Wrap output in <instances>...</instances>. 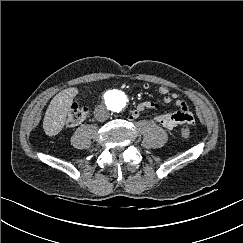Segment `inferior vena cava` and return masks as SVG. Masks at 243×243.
<instances>
[{
  "label": "inferior vena cava",
  "instance_id": "1",
  "mask_svg": "<svg viewBox=\"0 0 243 243\" xmlns=\"http://www.w3.org/2000/svg\"><path fill=\"white\" fill-rule=\"evenodd\" d=\"M96 118L99 121H104L106 119H108L109 117V113L107 112V110L103 107H100L99 110L96 112Z\"/></svg>",
  "mask_w": 243,
  "mask_h": 243
}]
</instances>
